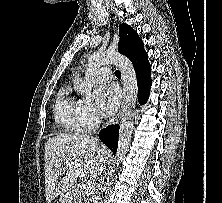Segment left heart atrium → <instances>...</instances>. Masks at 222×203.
Here are the masks:
<instances>
[{"instance_id":"1","label":"left heart atrium","mask_w":222,"mask_h":203,"mask_svg":"<svg viewBox=\"0 0 222 203\" xmlns=\"http://www.w3.org/2000/svg\"><path fill=\"white\" fill-rule=\"evenodd\" d=\"M120 102V92L114 85H105L95 91V104L98 111L104 115L116 112Z\"/></svg>"}]
</instances>
